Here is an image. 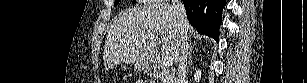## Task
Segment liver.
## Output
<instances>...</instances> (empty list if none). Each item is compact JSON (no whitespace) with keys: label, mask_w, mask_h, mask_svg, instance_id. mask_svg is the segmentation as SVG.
Returning <instances> with one entry per match:
<instances>
[{"label":"liver","mask_w":307,"mask_h":83,"mask_svg":"<svg viewBox=\"0 0 307 83\" xmlns=\"http://www.w3.org/2000/svg\"><path fill=\"white\" fill-rule=\"evenodd\" d=\"M178 24V16L168 4H149L120 14L107 32L103 56L105 68L110 69L118 63H136L146 68L158 53V41L162 57L169 56L177 62ZM193 34L194 29L189 25L188 35Z\"/></svg>","instance_id":"1"}]
</instances>
